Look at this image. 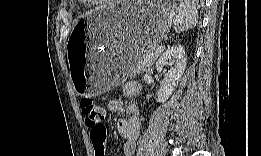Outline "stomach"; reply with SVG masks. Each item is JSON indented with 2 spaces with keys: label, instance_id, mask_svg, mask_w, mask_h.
Segmentation results:
<instances>
[{
  "label": "stomach",
  "instance_id": "1",
  "mask_svg": "<svg viewBox=\"0 0 261 156\" xmlns=\"http://www.w3.org/2000/svg\"><path fill=\"white\" fill-rule=\"evenodd\" d=\"M176 14L170 2H110L78 20L67 43L77 94L96 96L122 82L169 33ZM82 40L79 56L75 40Z\"/></svg>",
  "mask_w": 261,
  "mask_h": 156
}]
</instances>
